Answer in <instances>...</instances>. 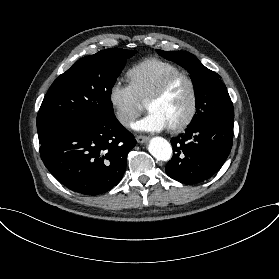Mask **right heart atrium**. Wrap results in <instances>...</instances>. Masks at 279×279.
<instances>
[{
    "instance_id": "d8ad5b80",
    "label": "right heart atrium",
    "mask_w": 279,
    "mask_h": 279,
    "mask_svg": "<svg viewBox=\"0 0 279 279\" xmlns=\"http://www.w3.org/2000/svg\"><path fill=\"white\" fill-rule=\"evenodd\" d=\"M107 99L116 122L123 127L129 126L140 113L141 102L129 84L115 81L108 90Z\"/></svg>"
}]
</instances>
